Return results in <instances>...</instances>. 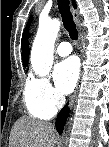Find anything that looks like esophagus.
Returning <instances> with one entry per match:
<instances>
[{"label":"esophagus","instance_id":"34e87169","mask_svg":"<svg viewBox=\"0 0 109 147\" xmlns=\"http://www.w3.org/2000/svg\"><path fill=\"white\" fill-rule=\"evenodd\" d=\"M71 13L73 15V18L75 20V22H78L79 21V13H78V10L75 9L73 6H71ZM81 39V38H80ZM77 91H78V88L77 90L74 91V93L72 94V96L70 97V100H69V107L71 108L74 104V100L76 98V95H77Z\"/></svg>","mask_w":109,"mask_h":147}]
</instances>
